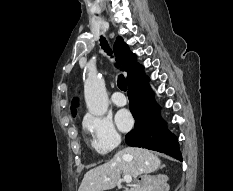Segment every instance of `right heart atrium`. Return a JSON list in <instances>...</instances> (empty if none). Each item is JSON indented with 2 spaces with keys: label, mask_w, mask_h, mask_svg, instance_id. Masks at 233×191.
Here are the masks:
<instances>
[{
  "label": "right heart atrium",
  "mask_w": 233,
  "mask_h": 191,
  "mask_svg": "<svg viewBox=\"0 0 233 191\" xmlns=\"http://www.w3.org/2000/svg\"><path fill=\"white\" fill-rule=\"evenodd\" d=\"M84 128L89 134L92 148L99 154L109 153L120 143V134L108 117L87 115Z\"/></svg>",
  "instance_id": "d8ad5b80"
}]
</instances>
